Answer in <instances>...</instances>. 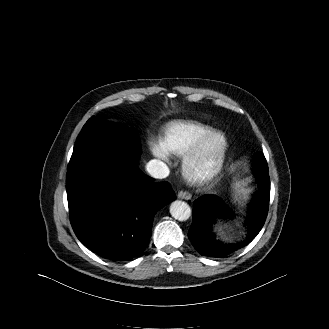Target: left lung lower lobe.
<instances>
[{
	"label": "left lung lower lobe",
	"mask_w": 329,
	"mask_h": 329,
	"mask_svg": "<svg viewBox=\"0 0 329 329\" xmlns=\"http://www.w3.org/2000/svg\"><path fill=\"white\" fill-rule=\"evenodd\" d=\"M255 177L258 193L249 207V218L245 221L248 229L247 237L236 245L218 241L212 231L213 224L222 217V207L214 195H203L193 205L192 225L188 231L189 239L198 253L209 257H225L237 249L247 245L262 229L269 208L270 178L266 161H257Z\"/></svg>",
	"instance_id": "left-lung-lower-lobe-1"
}]
</instances>
